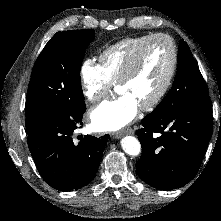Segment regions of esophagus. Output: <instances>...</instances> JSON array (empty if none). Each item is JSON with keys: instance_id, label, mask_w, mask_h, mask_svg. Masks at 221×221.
I'll use <instances>...</instances> for the list:
<instances>
[{"instance_id": "1", "label": "esophagus", "mask_w": 221, "mask_h": 221, "mask_svg": "<svg viewBox=\"0 0 221 221\" xmlns=\"http://www.w3.org/2000/svg\"><path fill=\"white\" fill-rule=\"evenodd\" d=\"M125 134H134V130L130 128V129H126V130H124L122 132H117V133L114 134V137L116 139H119V138H121Z\"/></svg>"}]
</instances>
